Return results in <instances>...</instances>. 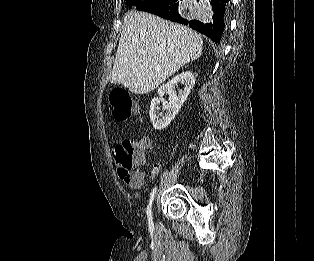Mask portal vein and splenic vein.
Segmentation results:
<instances>
[{
	"label": "portal vein and splenic vein",
	"instance_id": "1",
	"mask_svg": "<svg viewBox=\"0 0 314 261\" xmlns=\"http://www.w3.org/2000/svg\"><path fill=\"white\" fill-rule=\"evenodd\" d=\"M155 69H156V70H160V67L157 66V67H155Z\"/></svg>",
	"mask_w": 314,
	"mask_h": 261
}]
</instances>
